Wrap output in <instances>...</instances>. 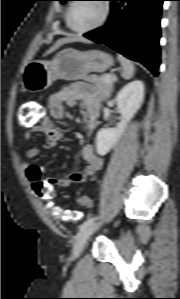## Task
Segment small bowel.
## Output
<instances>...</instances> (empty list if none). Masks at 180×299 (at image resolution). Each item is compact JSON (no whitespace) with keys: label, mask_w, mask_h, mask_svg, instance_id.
Returning <instances> with one entry per match:
<instances>
[{"label":"small bowel","mask_w":180,"mask_h":299,"mask_svg":"<svg viewBox=\"0 0 180 299\" xmlns=\"http://www.w3.org/2000/svg\"><path fill=\"white\" fill-rule=\"evenodd\" d=\"M78 103H81L85 108L87 129L93 131L99 120L100 101L97 96L82 85L66 87L51 95L48 100L50 117L56 120H65L66 112L64 106H75ZM34 132L44 133L47 144L51 147L65 142L62 132L54 126L50 118H45L38 125L31 126L30 130L24 133L23 138L29 140ZM38 154L39 150L36 147H31L26 151V158L31 160L36 158ZM80 155L85 162V167L82 171L70 172L59 177H46L44 169L25 164L24 171L26 178L32 183L40 181L60 187H69L82 183L88 177L93 176L101 170L103 160L96 154L93 146L90 144H86L81 148Z\"/></svg>","instance_id":"c3829d8e"}]
</instances>
